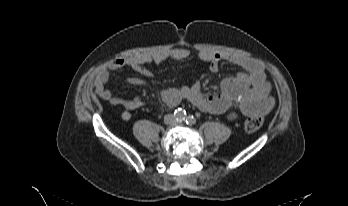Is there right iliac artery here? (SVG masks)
Returning a JSON list of instances; mask_svg holds the SVG:
<instances>
[{"mask_svg":"<svg viewBox=\"0 0 348 206\" xmlns=\"http://www.w3.org/2000/svg\"><path fill=\"white\" fill-rule=\"evenodd\" d=\"M175 117H176V120L177 121H183L185 120L186 118V112L185 110H182V109H178V110H175V113H174Z\"/></svg>","mask_w":348,"mask_h":206,"instance_id":"82829eb1","label":"right iliac artery"}]
</instances>
